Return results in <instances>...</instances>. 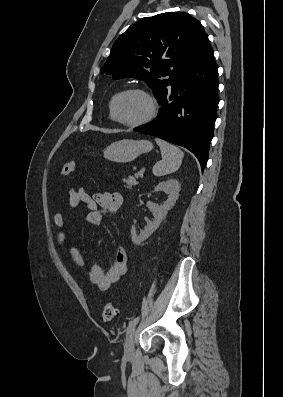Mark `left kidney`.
<instances>
[{
	"instance_id": "5707ae66",
	"label": "left kidney",
	"mask_w": 283,
	"mask_h": 397,
	"mask_svg": "<svg viewBox=\"0 0 283 397\" xmlns=\"http://www.w3.org/2000/svg\"><path fill=\"white\" fill-rule=\"evenodd\" d=\"M155 192L164 191L168 194V199L163 205H157L150 201L147 202V207L153 213L154 220L149 221L147 226L138 235L134 226L131 228L132 242L139 245L145 241L156 229L159 227L162 220L166 217L167 212L175 205L179 197L180 184L175 179H169L165 182L159 183L155 188Z\"/></svg>"
}]
</instances>
